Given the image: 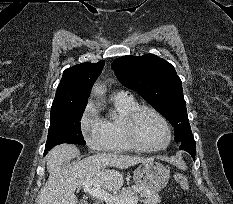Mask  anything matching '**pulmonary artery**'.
I'll list each match as a JSON object with an SVG mask.
<instances>
[{
    "mask_svg": "<svg viewBox=\"0 0 233 204\" xmlns=\"http://www.w3.org/2000/svg\"><path fill=\"white\" fill-rule=\"evenodd\" d=\"M117 94H126L124 91H119Z\"/></svg>",
    "mask_w": 233,
    "mask_h": 204,
    "instance_id": "pulmonary-artery-1",
    "label": "pulmonary artery"
}]
</instances>
